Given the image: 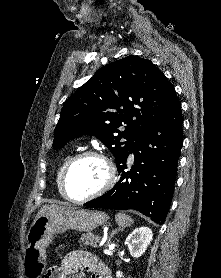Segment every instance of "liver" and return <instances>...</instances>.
Returning a JSON list of instances; mask_svg holds the SVG:
<instances>
[{"instance_id":"liver-1","label":"liver","mask_w":221,"mask_h":278,"mask_svg":"<svg viewBox=\"0 0 221 278\" xmlns=\"http://www.w3.org/2000/svg\"><path fill=\"white\" fill-rule=\"evenodd\" d=\"M71 210V208L65 207V206H59V205H44L38 212V214L43 213H65L67 211Z\"/></svg>"}]
</instances>
